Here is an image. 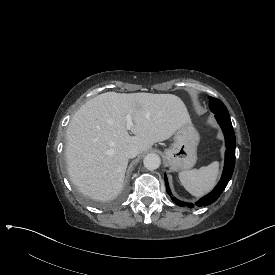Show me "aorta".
<instances>
[{
	"mask_svg": "<svg viewBox=\"0 0 275 275\" xmlns=\"http://www.w3.org/2000/svg\"><path fill=\"white\" fill-rule=\"evenodd\" d=\"M161 164V158L156 153H150L144 158V166L148 169H157Z\"/></svg>",
	"mask_w": 275,
	"mask_h": 275,
	"instance_id": "1",
	"label": "aorta"
}]
</instances>
